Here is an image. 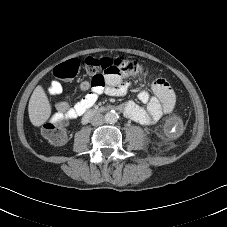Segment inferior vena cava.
Returning a JSON list of instances; mask_svg holds the SVG:
<instances>
[{"label":"inferior vena cava","mask_w":227,"mask_h":227,"mask_svg":"<svg viewBox=\"0 0 227 227\" xmlns=\"http://www.w3.org/2000/svg\"><path fill=\"white\" fill-rule=\"evenodd\" d=\"M104 122H105L104 116L100 113L95 114L91 118V124L93 126H100V125L104 124Z\"/></svg>","instance_id":"602c4592"}]
</instances>
